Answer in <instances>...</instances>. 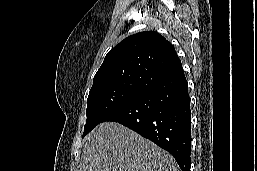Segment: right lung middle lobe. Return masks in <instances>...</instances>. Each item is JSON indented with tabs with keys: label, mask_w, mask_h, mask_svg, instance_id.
I'll list each match as a JSON object with an SVG mask.
<instances>
[{
	"label": "right lung middle lobe",
	"mask_w": 257,
	"mask_h": 171,
	"mask_svg": "<svg viewBox=\"0 0 257 171\" xmlns=\"http://www.w3.org/2000/svg\"><path fill=\"white\" fill-rule=\"evenodd\" d=\"M146 88L144 84L133 83L110 84L91 89L87 99L83 137Z\"/></svg>",
	"instance_id": "right-lung-middle-lobe-1"
}]
</instances>
